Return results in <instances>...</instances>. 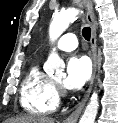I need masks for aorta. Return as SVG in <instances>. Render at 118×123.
<instances>
[{
    "mask_svg": "<svg viewBox=\"0 0 118 123\" xmlns=\"http://www.w3.org/2000/svg\"><path fill=\"white\" fill-rule=\"evenodd\" d=\"M80 11L75 8H68L67 10L55 14L52 22L49 26V38L52 42H55L60 35L68 28L70 23L77 19ZM64 69V62L59 55L55 52V49L50 53L47 62L44 65V70L55 75H62ZM99 99L97 93H93L89 103L87 104L79 123H94L98 111Z\"/></svg>",
    "mask_w": 118,
    "mask_h": 123,
    "instance_id": "aorta-1",
    "label": "aorta"
}]
</instances>
